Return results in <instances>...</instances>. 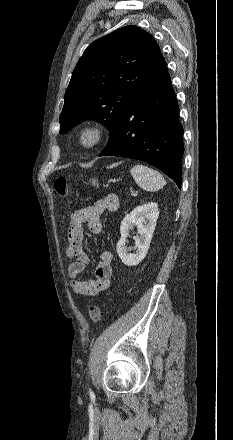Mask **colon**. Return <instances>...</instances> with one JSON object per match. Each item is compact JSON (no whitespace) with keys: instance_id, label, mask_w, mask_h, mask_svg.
Here are the masks:
<instances>
[{"instance_id":"colon-1","label":"colon","mask_w":233,"mask_h":440,"mask_svg":"<svg viewBox=\"0 0 233 440\" xmlns=\"http://www.w3.org/2000/svg\"><path fill=\"white\" fill-rule=\"evenodd\" d=\"M53 187L55 192L60 196H68L70 193L67 180L64 176H58L54 179ZM89 318L92 322H97L103 315V307L101 305H92L88 311Z\"/></svg>"}]
</instances>
